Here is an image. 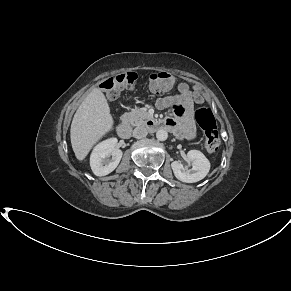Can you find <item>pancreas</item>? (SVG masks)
Listing matches in <instances>:
<instances>
[{
	"mask_svg": "<svg viewBox=\"0 0 291 291\" xmlns=\"http://www.w3.org/2000/svg\"><path fill=\"white\" fill-rule=\"evenodd\" d=\"M128 121L133 126L141 125L147 120L150 116L144 108L133 109L131 112L127 113Z\"/></svg>",
	"mask_w": 291,
	"mask_h": 291,
	"instance_id": "1",
	"label": "pancreas"
}]
</instances>
